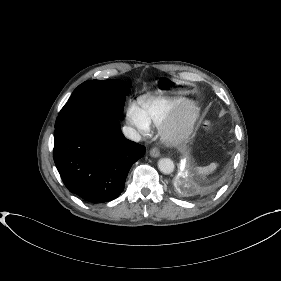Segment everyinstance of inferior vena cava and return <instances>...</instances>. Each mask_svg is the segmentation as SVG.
<instances>
[{
  "label": "inferior vena cava",
  "instance_id": "1",
  "mask_svg": "<svg viewBox=\"0 0 281 281\" xmlns=\"http://www.w3.org/2000/svg\"><path fill=\"white\" fill-rule=\"evenodd\" d=\"M122 132L125 135V137H127L132 141L139 142L141 140L140 134L132 127L124 126L122 128Z\"/></svg>",
  "mask_w": 281,
  "mask_h": 281
}]
</instances>
